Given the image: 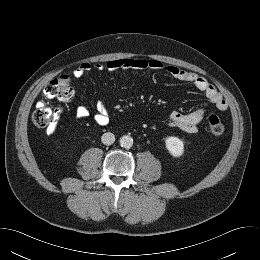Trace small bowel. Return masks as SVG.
Masks as SVG:
<instances>
[{
  "label": "small bowel",
  "instance_id": "c3829d8e",
  "mask_svg": "<svg viewBox=\"0 0 260 260\" xmlns=\"http://www.w3.org/2000/svg\"><path fill=\"white\" fill-rule=\"evenodd\" d=\"M95 68L98 71L107 69L109 71L119 70H137V71H165L173 78L187 82L195 86L199 91L203 92L208 100L213 103L220 111L227 110V102L224 97L217 91V89L208 82L204 77L190 71H186L177 66H164L162 62L152 58L128 57L123 59H113L106 62V64H96ZM91 69V64L82 62L73 71L75 78H81L85 73ZM89 115V110L86 106H79L76 110L75 116L78 120H82ZM205 111L201 108L195 109L188 113H181L174 111L170 114L169 123L171 126L179 128L187 133H196L198 131V124L203 120ZM95 121L100 126H105L109 122V114L104 104L97 105V113L95 114Z\"/></svg>",
  "mask_w": 260,
  "mask_h": 260
}]
</instances>
